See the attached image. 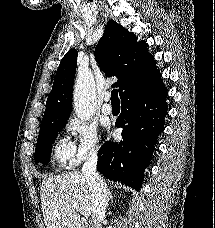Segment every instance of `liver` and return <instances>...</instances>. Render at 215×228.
<instances>
[{"mask_svg": "<svg viewBox=\"0 0 215 228\" xmlns=\"http://www.w3.org/2000/svg\"><path fill=\"white\" fill-rule=\"evenodd\" d=\"M41 210L46 228H86L72 204L82 206L92 216V190L83 174L67 172L61 176H50L40 188Z\"/></svg>", "mask_w": 215, "mask_h": 228, "instance_id": "6515ba94", "label": "liver"}]
</instances>
